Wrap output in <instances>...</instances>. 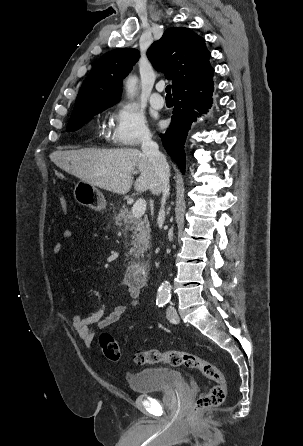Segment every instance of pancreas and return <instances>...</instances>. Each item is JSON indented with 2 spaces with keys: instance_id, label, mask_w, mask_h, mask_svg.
Here are the masks:
<instances>
[{
  "instance_id": "obj_1",
  "label": "pancreas",
  "mask_w": 303,
  "mask_h": 446,
  "mask_svg": "<svg viewBox=\"0 0 303 446\" xmlns=\"http://www.w3.org/2000/svg\"><path fill=\"white\" fill-rule=\"evenodd\" d=\"M114 219L116 226H125L126 229L134 230L128 255L133 258L143 257L144 252L149 248L150 228L148 218H135L132 212L123 206Z\"/></svg>"
}]
</instances>
